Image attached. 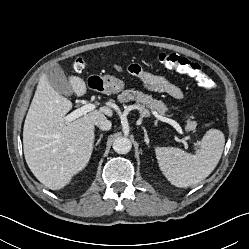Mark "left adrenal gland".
<instances>
[{
    "label": "left adrenal gland",
    "mask_w": 249,
    "mask_h": 249,
    "mask_svg": "<svg viewBox=\"0 0 249 249\" xmlns=\"http://www.w3.org/2000/svg\"><path fill=\"white\" fill-rule=\"evenodd\" d=\"M143 131H144V141L146 142V144H149V138H148V133L145 127H142Z\"/></svg>",
    "instance_id": "left-adrenal-gland-1"
}]
</instances>
